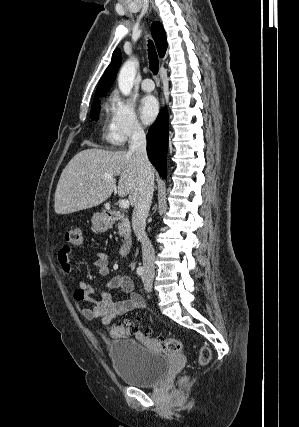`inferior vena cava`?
Here are the masks:
<instances>
[{"label": "inferior vena cava", "mask_w": 299, "mask_h": 427, "mask_svg": "<svg viewBox=\"0 0 299 427\" xmlns=\"http://www.w3.org/2000/svg\"><path fill=\"white\" fill-rule=\"evenodd\" d=\"M129 152L134 153L136 156L139 173V197L134 205L132 226L135 235L141 242L145 274L154 275V248L145 231L146 218L150 210L154 191V174L146 152V136L140 126L133 128L129 140Z\"/></svg>", "instance_id": "inferior-vena-cava-1"}]
</instances>
